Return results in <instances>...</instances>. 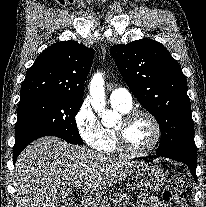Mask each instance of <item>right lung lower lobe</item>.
<instances>
[{
    "mask_svg": "<svg viewBox=\"0 0 206 207\" xmlns=\"http://www.w3.org/2000/svg\"><path fill=\"white\" fill-rule=\"evenodd\" d=\"M26 147V146H25ZM25 147H22L18 150H13V163L15 164L16 160H17V157L19 156V154L21 153V151L25 148Z\"/></svg>",
    "mask_w": 206,
    "mask_h": 207,
    "instance_id": "1",
    "label": "right lung lower lobe"
}]
</instances>
